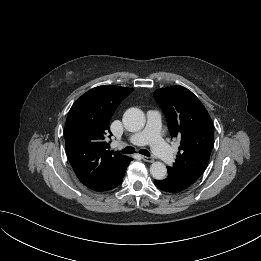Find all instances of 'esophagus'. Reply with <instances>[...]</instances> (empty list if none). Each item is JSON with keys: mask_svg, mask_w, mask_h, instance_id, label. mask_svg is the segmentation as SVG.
Returning <instances> with one entry per match:
<instances>
[{"mask_svg": "<svg viewBox=\"0 0 261 261\" xmlns=\"http://www.w3.org/2000/svg\"><path fill=\"white\" fill-rule=\"evenodd\" d=\"M142 159H143L144 161L150 162V163L154 161V159H153L152 157H147V156H142Z\"/></svg>", "mask_w": 261, "mask_h": 261, "instance_id": "34e87169", "label": "esophagus"}]
</instances>
